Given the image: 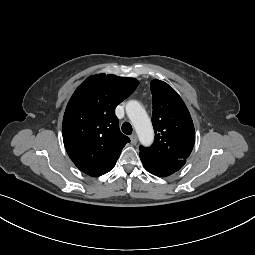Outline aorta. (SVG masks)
<instances>
[{"instance_id": "obj_1", "label": "aorta", "mask_w": 255, "mask_h": 255, "mask_svg": "<svg viewBox=\"0 0 255 255\" xmlns=\"http://www.w3.org/2000/svg\"><path fill=\"white\" fill-rule=\"evenodd\" d=\"M126 113L134 125L140 142L149 146L153 142L154 131L145 109L139 102L129 101L126 105Z\"/></svg>"}]
</instances>
